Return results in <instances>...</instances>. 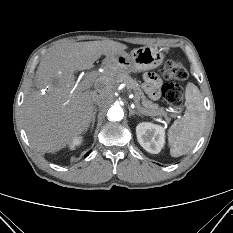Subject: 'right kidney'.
Instances as JSON below:
<instances>
[{
  "label": "right kidney",
  "mask_w": 233,
  "mask_h": 233,
  "mask_svg": "<svg viewBox=\"0 0 233 233\" xmlns=\"http://www.w3.org/2000/svg\"><path fill=\"white\" fill-rule=\"evenodd\" d=\"M82 142V137L74 138L70 143V149H74L76 146L80 145Z\"/></svg>",
  "instance_id": "1"
}]
</instances>
